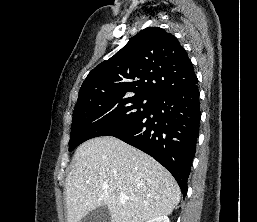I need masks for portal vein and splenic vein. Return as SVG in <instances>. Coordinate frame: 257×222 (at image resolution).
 I'll list each match as a JSON object with an SVG mask.
<instances>
[{"mask_svg":"<svg viewBox=\"0 0 257 222\" xmlns=\"http://www.w3.org/2000/svg\"><path fill=\"white\" fill-rule=\"evenodd\" d=\"M119 198H120L121 201H125V200H128V199H133L132 197L127 196L125 193H120Z\"/></svg>","mask_w":257,"mask_h":222,"instance_id":"portal-vein-and-splenic-vein-1","label":"portal vein and splenic vein"}]
</instances>
